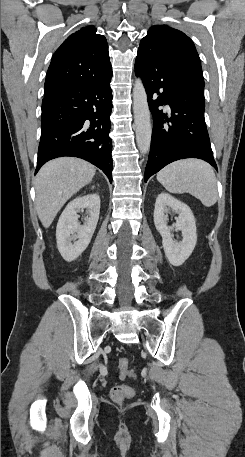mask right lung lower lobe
Here are the masks:
<instances>
[{"mask_svg": "<svg viewBox=\"0 0 245 457\" xmlns=\"http://www.w3.org/2000/svg\"><path fill=\"white\" fill-rule=\"evenodd\" d=\"M111 77L78 82L43 98L35 173L51 159L73 156L96 165L112 183Z\"/></svg>", "mask_w": 245, "mask_h": 457, "instance_id": "98d812e1", "label": "right lung lower lobe"}]
</instances>
